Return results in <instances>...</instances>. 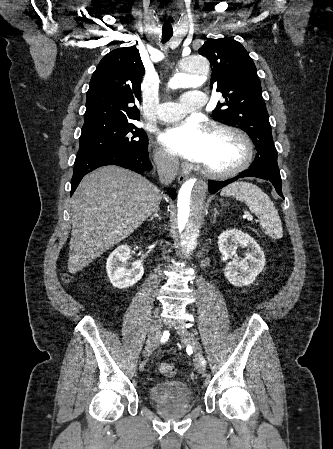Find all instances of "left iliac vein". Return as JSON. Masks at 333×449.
Listing matches in <instances>:
<instances>
[{"mask_svg":"<svg viewBox=\"0 0 333 449\" xmlns=\"http://www.w3.org/2000/svg\"><path fill=\"white\" fill-rule=\"evenodd\" d=\"M178 334L181 338V340L185 343L190 345V347L192 348L193 352H194V357H195V367L198 373L203 374L205 371V367L203 365L202 362V348L201 345L197 339V337L195 336V334L187 329H179L178 330Z\"/></svg>","mask_w":333,"mask_h":449,"instance_id":"obj_1","label":"left iliac vein"}]
</instances>
